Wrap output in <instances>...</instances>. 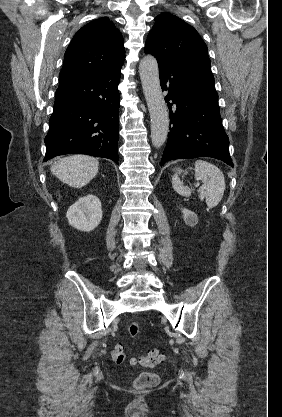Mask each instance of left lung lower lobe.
<instances>
[{"instance_id":"1","label":"left lung lower lobe","mask_w":282,"mask_h":417,"mask_svg":"<svg viewBox=\"0 0 282 417\" xmlns=\"http://www.w3.org/2000/svg\"><path fill=\"white\" fill-rule=\"evenodd\" d=\"M157 61L162 90H169L165 99L172 125L161 166L170 160L205 156L233 167L210 66ZM169 101L176 105L174 112Z\"/></svg>"}]
</instances>
